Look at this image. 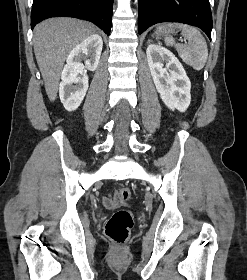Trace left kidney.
<instances>
[{"instance_id": "left-kidney-1", "label": "left kidney", "mask_w": 247, "mask_h": 280, "mask_svg": "<svg viewBox=\"0 0 247 280\" xmlns=\"http://www.w3.org/2000/svg\"><path fill=\"white\" fill-rule=\"evenodd\" d=\"M146 55L155 87L164 104L172 111L185 112L191 101V83L182 64L171 51L159 45H149ZM163 62H166V67H163Z\"/></svg>"}]
</instances>
